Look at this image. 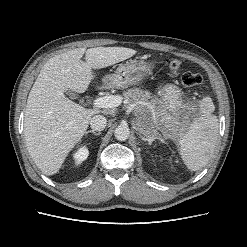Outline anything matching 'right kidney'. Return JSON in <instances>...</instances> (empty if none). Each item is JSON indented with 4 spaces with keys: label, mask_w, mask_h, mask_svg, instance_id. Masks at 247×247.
Instances as JSON below:
<instances>
[{
    "label": "right kidney",
    "mask_w": 247,
    "mask_h": 247,
    "mask_svg": "<svg viewBox=\"0 0 247 247\" xmlns=\"http://www.w3.org/2000/svg\"><path fill=\"white\" fill-rule=\"evenodd\" d=\"M89 151L87 147L84 145L80 147L74 154L73 159L76 165L81 164L84 160L87 159Z\"/></svg>",
    "instance_id": "obj_1"
}]
</instances>
